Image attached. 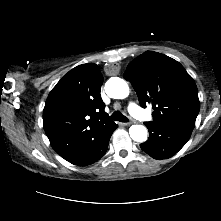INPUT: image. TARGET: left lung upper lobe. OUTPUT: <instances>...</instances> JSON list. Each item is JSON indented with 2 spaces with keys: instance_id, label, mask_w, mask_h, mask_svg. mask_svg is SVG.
Wrapping results in <instances>:
<instances>
[{
  "instance_id": "obj_1",
  "label": "left lung upper lobe",
  "mask_w": 221,
  "mask_h": 221,
  "mask_svg": "<svg viewBox=\"0 0 221 221\" xmlns=\"http://www.w3.org/2000/svg\"><path fill=\"white\" fill-rule=\"evenodd\" d=\"M130 81L143 108L152 104L154 122L194 126L199 113L196 84L176 60L146 51L127 66Z\"/></svg>"
}]
</instances>
